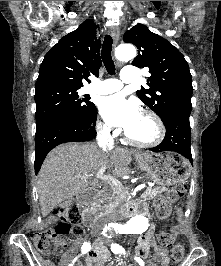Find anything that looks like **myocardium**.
<instances>
[{
	"instance_id": "f54148a6",
	"label": "myocardium",
	"mask_w": 221,
	"mask_h": 266,
	"mask_svg": "<svg viewBox=\"0 0 221 266\" xmlns=\"http://www.w3.org/2000/svg\"><path fill=\"white\" fill-rule=\"evenodd\" d=\"M143 116L147 117L148 119L151 120V122L153 123L154 127H155V134L154 136L149 139V140H145V141H141V140H136L133 139L128 132H125V139L128 143L137 146V147H152L158 143L161 142V140L163 139L166 129L164 126L163 121L161 120V118L154 113L153 111L150 110H146L143 112Z\"/></svg>"
}]
</instances>
